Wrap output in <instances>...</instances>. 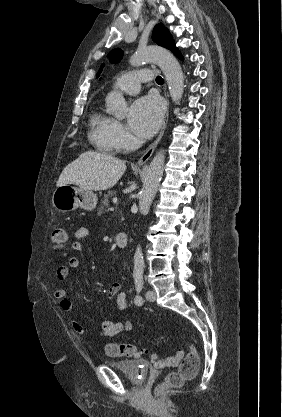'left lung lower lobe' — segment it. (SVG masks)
<instances>
[{
	"label": "left lung lower lobe",
	"instance_id": "left-lung-lower-lobe-1",
	"mask_svg": "<svg viewBox=\"0 0 282 417\" xmlns=\"http://www.w3.org/2000/svg\"><path fill=\"white\" fill-rule=\"evenodd\" d=\"M178 58H181L182 59V56H181V54H180V52H179V50L177 49V48H175L173 51H172Z\"/></svg>",
	"mask_w": 282,
	"mask_h": 417
}]
</instances>
